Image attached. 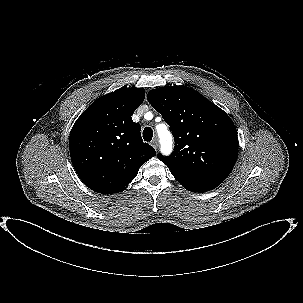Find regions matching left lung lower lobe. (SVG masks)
Instances as JSON below:
<instances>
[{
	"label": "left lung lower lobe",
	"instance_id": "1",
	"mask_svg": "<svg viewBox=\"0 0 303 303\" xmlns=\"http://www.w3.org/2000/svg\"><path fill=\"white\" fill-rule=\"evenodd\" d=\"M176 180L181 183L187 190L192 192H206L216 188L227 177L225 176H210L200 178H189L172 174Z\"/></svg>",
	"mask_w": 303,
	"mask_h": 303
}]
</instances>
